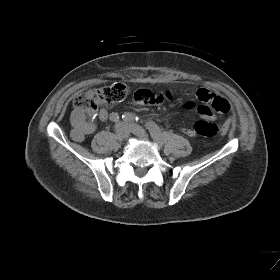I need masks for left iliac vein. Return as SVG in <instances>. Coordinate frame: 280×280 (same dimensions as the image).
<instances>
[{
	"label": "left iliac vein",
	"instance_id": "left-iliac-vein-1",
	"mask_svg": "<svg viewBox=\"0 0 280 280\" xmlns=\"http://www.w3.org/2000/svg\"><path fill=\"white\" fill-rule=\"evenodd\" d=\"M126 125L129 127L130 131L134 135H136L138 137H141V138H144V139H147L148 135H147L146 131L141 126H139L137 124H133V123H129V124H126Z\"/></svg>",
	"mask_w": 280,
	"mask_h": 280
}]
</instances>
